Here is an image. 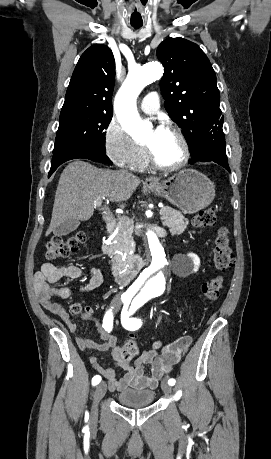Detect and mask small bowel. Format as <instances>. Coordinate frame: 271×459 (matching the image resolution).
<instances>
[{
    "label": "small bowel",
    "mask_w": 271,
    "mask_h": 459,
    "mask_svg": "<svg viewBox=\"0 0 271 459\" xmlns=\"http://www.w3.org/2000/svg\"><path fill=\"white\" fill-rule=\"evenodd\" d=\"M82 275L83 271L77 265L56 266L46 263L42 265L34 278V289L39 303L47 311L64 321L71 332H76V324L70 320L65 308L52 301L51 298L56 297L62 300L70 298L72 291L69 288L55 284L63 278L78 279ZM102 281L101 271L97 268H91L89 281L79 291L82 293L90 292L98 288ZM84 317L94 320L92 308H85ZM102 324H96L101 342L79 335L76 336L75 340L82 350L110 353L115 366L125 371L123 376L117 378L115 367H106L100 364L95 357H89L90 365L107 380L110 391H122L129 387L156 388L160 379L179 362L192 342L190 336H182L167 345L157 341L151 349L144 350L134 364L130 365L121 358L117 337L109 334ZM148 365L150 366L149 374L145 372V367Z\"/></svg>",
    "instance_id": "1"
}]
</instances>
